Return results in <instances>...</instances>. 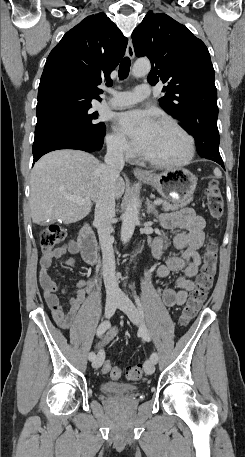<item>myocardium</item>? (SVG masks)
<instances>
[{
	"instance_id": "1",
	"label": "myocardium",
	"mask_w": 245,
	"mask_h": 457,
	"mask_svg": "<svg viewBox=\"0 0 245 457\" xmlns=\"http://www.w3.org/2000/svg\"><path fill=\"white\" fill-rule=\"evenodd\" d=\"M159 127H163V128L172 130L183 137V139L185 140V143H186L184 146V154L178 159H169V158L158 159V158L148 156L146 154H142V158L146 162H148L154 166L163 167V168L180 167V166L187 164L192 159L193 154H194V141H193L192 137L178 124H176L170 120H167V119L162 120L159 124Z\"/></svg>"
}]
</instances>
